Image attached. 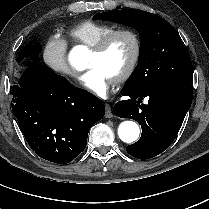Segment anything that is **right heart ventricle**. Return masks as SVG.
<instances>
[{"label":"right heart ventricle","mask_w":209,"mask_h":209,"mask_svg":"<svg viewBox=\"0 0 209 209\" xmlns=\"http://www.w3.org/2000/svg\"><path fill=\"white\" fill-rule=\"evenodd\" d=\"M113 30L115 27L108 23L82 21L69 27L65 33L72 42L92 47Z\"/></svg>","instance_id":"1"}]
</instances>
